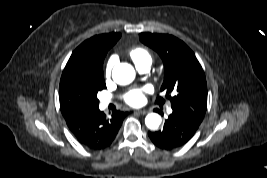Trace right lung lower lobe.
Returning <instances> with one entry per match:
<instances>
[{
  "label": "right lung lower lobe",
  "mask_w": 267,
  "mask_h": 178,
  "mask_svg": "<svg viewBox=\"0 0 267 178\" xmlns=\"http://www.w3.org/2000/svg\"><path fill=\"white\" fill-rule=\"evenodd\" d=\"M72 135L84 147L101 150L114 141L126 113L113 110L111 118L98 108L75 107L62 112Z\"/></svg>",
  "instance_id": "98d812e1"
}]
</instances>
